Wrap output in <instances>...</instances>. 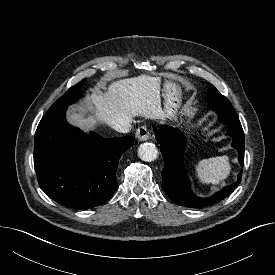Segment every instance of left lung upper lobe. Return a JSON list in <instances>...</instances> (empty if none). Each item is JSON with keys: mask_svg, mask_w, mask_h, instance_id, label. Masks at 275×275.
Returning a JSON list of instances; mask_svg holds the SVG:
<instances>
[{"mask_svg": "<svg viewBox=\"0 0 275 275\" xmlns=\"http://www.w3.org/2000/svg\"><path fill=\"white\" fill-rule=\"evenodd\" d=\"M207 99L210 108L218 113L220 122L240 123L229 100L221 95L212 84L209 85Z\"/></svg>", "mask_w": 275, "mask_h": 275, "instance_id": "1", "label": "left lung upper lobe"}]
</instances>
